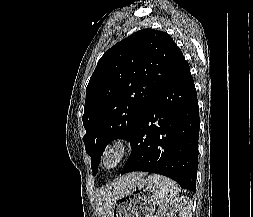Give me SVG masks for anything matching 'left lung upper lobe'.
Wrapping results in <instances>:
<instances>
[{"label": "left lung upper lobe", "mask_w": 253, "mask_h": 217, "mask_svg": "<svg viewBox=\"0 0 253 217\" xmlns=\"http://www.w3.org/2000/svg\"><path fill=\"white\" fill-rule=\"evenodd\" d=\"M184 62L173 39L154 29L133 33L100 58L86 88L82 117L94 175L106 145L130 139L144 110Z\"/></svg>", "instance_id": "1"}]
</instances>
